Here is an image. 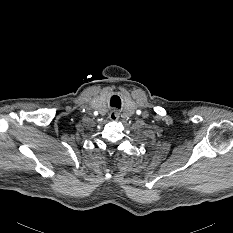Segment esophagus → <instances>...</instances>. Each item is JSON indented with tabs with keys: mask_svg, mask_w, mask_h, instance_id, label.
Returning a JSON list of instances; mask_svg holds the SVG:
<instances>
[{
	"mask_svg": "<svg viewBox=\"0 0 233 233\" xmlns=\"http://www.w3.org/2000/svg\"><path fill=\"white\" fill-rule=\"evenodd\" d=\"M109 118L112 120V121H116L119 119V112L117 110H112L109 114Z\"/></svg>",
	"mask_w": 233,
	"mask_h": 233,
	"instance_id": "obj_1",
	"label": "esophagus"
}]
</instances>
